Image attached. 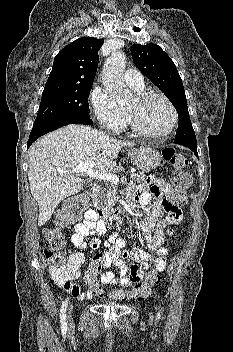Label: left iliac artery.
<instances>
[{
	"label": "left iliac artery",
	"instance_id": "44dca946",
	"mask_svg": "<svg viewBox=\"0 0 233 352\" xmlns=\"http://www.w3.org/2000/svg\"><path fill=\"white\" fill-rule=\"evenodd\" d=\"M157 317L160 318V312H159V311H158V313H157Z\"/></svg>",
	"mask_w": 233,
	"mask_h": 352
}]
</instances>
